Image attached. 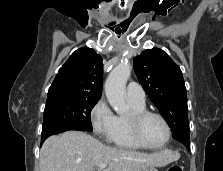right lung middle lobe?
<instances>
[{
    "mask_svg": "<svg viewBox=\"0 0 223 171\" xmlns=\"http://www.w3.org/2000/svg\"><path fill=\"white\" fill-rule=\"evenodd\" d=\"M98 100L81 96H61L47 99L42 137L65 125H74L86 131H92L90 113Z\"/></svg>",
    "mask_w": 223,
    "mask_h": 171,
    "instance_id": "1",
    "label": "right lung middle lobe"
}]
</instances>
